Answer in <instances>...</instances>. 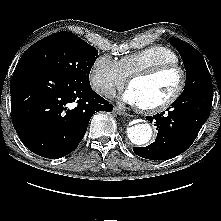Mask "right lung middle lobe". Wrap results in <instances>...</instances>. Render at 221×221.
I'll return each instance as SVG.
<instances>
[{"instance_id":"dd1d6c3e","label":"right lung middle lobe","mask_w":221,"mask_h":221,"mask_svg":"<svg viewBox=\"0 0 221 221\" xmlns=\"http://www.w3.org/2000/svg\"><path fill=\"white\" fill-rule=\"evenodd\" d=\"M97 55L95 47L70 32L62 31L33 44L20 61L37 63L71 81L90 85L89 73Z\"/></svg>"}]
</instances>
